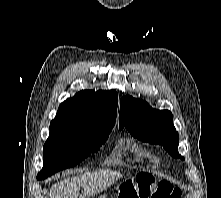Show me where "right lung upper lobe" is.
Segmentation results:
<instances>
[{"label": "right lung upper lobe", "instance_id": "right-lung-upper-lobe-1", "mask_svg": "<svg viewBox=\"0 0 221 198\" xmlns=\"http://www.w3.org/2000/svg\"><path fill=\"white\" fill-rule=\"evenodd\" d=\"M117 105L115 90H82L60 104L56 117L51 121L50 133L88 134L102 128H113Z\"/></svg>", "mask_w": 221, "mask_h": 198}]
</instances>
